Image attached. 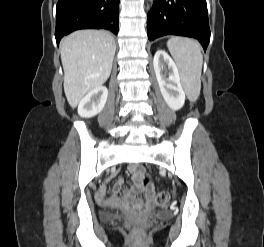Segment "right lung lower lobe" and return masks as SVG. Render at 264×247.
Segmentation results:
<instances>
[{"instance_id": "1", "label": "right lung lower lobe", "mask_w": 264, "mask_h": 247, "mask_svg": "<svg viewBox=\"0 0 264 247\" xmlns=\"http://www.w3.org/2000/svg\"><path fill=\"white\" fill-rule=\"evenodd\" d=\"M119 0H59L56 7L55 38L78 29H107L118 33Z\"/></svg>"}]
</instances>
